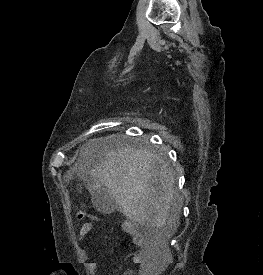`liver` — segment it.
<instances>
[{
	"label": "liver",
	"mask_w": 263,
	"mask_h": 275,
	"mask_svg": "<svg viewBox=\"0 0 263 275\" xmlns=\"http://www.w3.org/2000/svg\"><path fill=\"white\" fill-rule=\"evenodd\" d=\"M89 141L81 158L105 145ZM75 170L88 176L91 192L106 188L127 219L140 226H176L181 204L176 202L172 170L154 152L121 146L105 152L93 168L80 160Z\"/></svg>",
	"instance_id": "obj_1"
}]
</instances>
